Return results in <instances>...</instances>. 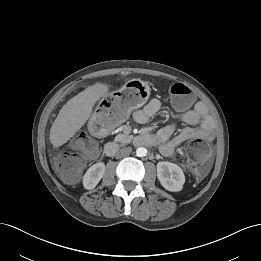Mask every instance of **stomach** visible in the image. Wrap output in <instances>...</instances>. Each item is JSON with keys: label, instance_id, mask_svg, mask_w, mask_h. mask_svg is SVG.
<instances>
[{"label": "stomach", "instance_id": "1", "mask_svg": "<svg viewBox=\"0 0 261 261\" xmlns=\"http://www.w3.org/2000/svg\"><path fill=\"white\" fill-rule=\"evenodd\" d=\"M119 100L123 101L126 107V114L140 108L149 98L150 88L147 83L140 79H132L126 82L123 88L118 91ZM115 124L106 125L97 114H93L88 123L89 131L95 136H103L109 133Z\"/></svg>", "mask_w": 261, "mask_h": 261}]
</instances>
